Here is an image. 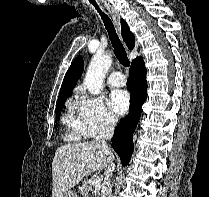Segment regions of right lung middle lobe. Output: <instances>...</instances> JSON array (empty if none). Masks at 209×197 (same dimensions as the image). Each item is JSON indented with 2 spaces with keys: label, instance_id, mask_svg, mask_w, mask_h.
<instances>
[{
  "label": "right lung middle lobe",
  "instance_id": "1",
  "mask_svg": "<svg viewBox=\"0 0 209 197\" xmlns=\"http://www.w3.org/2000/svg\"><path fill=\"white\" fill-rule=\"evenodd\" d=\"M66 98L60 99L57 101V105H56V118L60 117L61 114V110L63 108V104L65 102Z\"/></svg>",
  "mask_w": 209,
  "mask_h": 197
}]
</instances>
